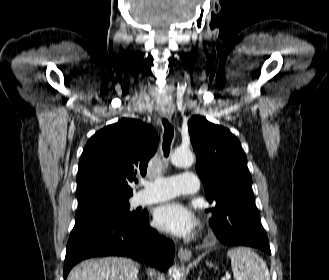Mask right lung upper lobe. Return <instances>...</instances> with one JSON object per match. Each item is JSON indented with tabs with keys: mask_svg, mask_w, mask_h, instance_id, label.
<instances>
[{
	"mask_svg": "<svg viewBox=\"0 0 329 280\" xmlns=\"http://www.w3.org/2000/svg\"><path fill=\"white\" fill-rule=\"evenodd\" d=\"M157 145L155 129L139 120L122 118L99 130L88 140L79 161L77 198H129L130 183L137 173H146Z\"/></svg>",
	"mask_w": 329,
	"mask_h": 280,
	"instance_id": "cb5924a9",
	"label": "right lung upper lobe"
}]
</instances>
